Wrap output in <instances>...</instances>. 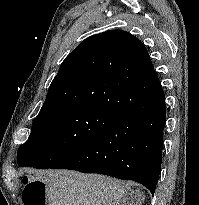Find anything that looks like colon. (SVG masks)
<instances>
[{
	"mask_svg": "<svg viewBox=\"0 0 199 205\" xmlns=\"http://www.w3.org/2000/svg\"><path fill=\"white\" fill-rule=\"evenodd\" d=\"M22 197L25 205H46L44 193L35 183L24 182Z\"/></svg>",
	"mask_w": 199,
	"mask_h": 205,
	"instance_id": "obj_1",
	"label": "colon"
}]
</instances>
